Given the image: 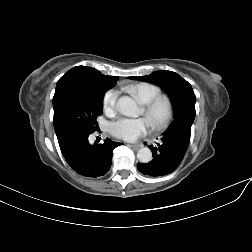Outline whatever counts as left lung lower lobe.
<instances>
[{"label": "left lung lower lobe", "mask_w": 252, "mask_h": 252, "mask_svg": "<svg viewBox=\"0 0 252 252\" xmlns=\"http://www.w3.org/2000/svg\"><path fill=\"white\" fill-rule=\"evenodd\" d=\"M191 136V127L177 126L163 133L161 143L149 146L153 159L148 163H138V170L147 176L158 177L170 174L180 165L187 151Z\"/></svg>", "instance_id": "0a47b994"}]
</instances>
